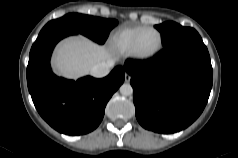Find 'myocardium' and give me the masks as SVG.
<instances>
[{
  "label": "myocardium",
  "mask_w": 238,
  "mask_h": 158,
  "mask_svg": "<svg viewBox=\"0 0 238 158\" xmlns=\"http://www.w3.org/2000/svg\"><path fill=\"white\" fill-rule=\"evenodd\" d=\"M148 30L155 31L158 34L159 41H158L157 47L152 52L144 54V53H141L138 50V43H139V40H140L141 36ZM162 46H163L162 33L155 27H151V26L144 27L134 37L129 53L135 59L148 60V59H151V58L155 57L160 52V50L162 49Z\"/></svg>",
  "instance_id": "obj_1"
}]
</instances>
